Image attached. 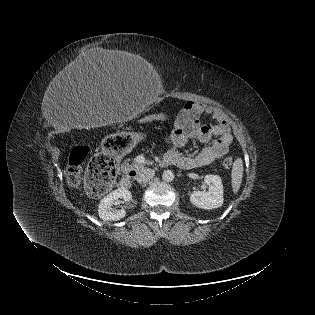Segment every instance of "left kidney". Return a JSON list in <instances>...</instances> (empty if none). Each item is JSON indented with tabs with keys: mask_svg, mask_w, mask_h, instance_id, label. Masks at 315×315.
Wrapping results in <instances>:
<instances>
[{
	"mask_svg": "<svg viewBox=\"0 0 315 315\" xmlns=\"http://www.w3.org/2000/svg\"><path fill=\"white\" fill-rule=\"evenodd\" d=\"M204 183L208 185V191L189 192L193 205L202 209H214L223 205V185L218 175H206Z\"/></svg>",
	"mask_w": 315,
	"mask_h": 315,
	"instance_id": "obj_1",
	"label": "left kidney"
}]
</instances>
